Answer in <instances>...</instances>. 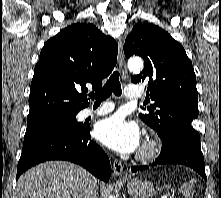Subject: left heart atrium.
I'll return each mask as SVG.
<instances>
[{
    "mask_svg": "<svg viewBox=\"0 0 221 198\" xmlns=\"http://www.w3.org/2000/svg\"><path fill=\"white\" fill-rule=\"evenodd\" d=\"M95 136L102 144L119 153H131L140 143L137 124L126 121L122 115H113L98 122Z\"/></svg>",
    "mask_w": 221,
    "mask_h": 198,
    "instance_id": "left-heart-atrium-1",
    "label": "left heart atrium"
}]
</instances>
